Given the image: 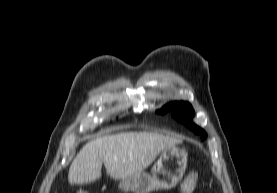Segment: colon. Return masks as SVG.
<instances>
[{
	"instance_id": "obj_1",
	"label": "colon",
	"mask_w": 277,
	"mask_h": 193,
	"mask_svg": "<svg viewBox=\"0 0 277 193\" xmlns=\"http://www.w3.org/2000/svg\"><path fill=\"white\" fill-rule=\"evenodd\" d=\"M198 182V175L196 172H191L181 184L178 193H192ZM76 193H88L85 190H79Z\"/></svg>"
}]
</instances>
